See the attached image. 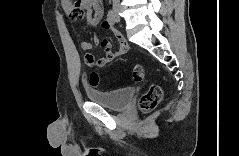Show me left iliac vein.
<instances>
[{"label":"left iliac vein","mask_w":239,"mask_h":156,"mask_svg":"<svg viewBox=\"0 0 239 156\" xmlns=\"http://www.w3.org/2000/svg\"><path fill=\"white\" fill-rule=\"evenodd\" d=\"M117 21H119V17L117 16Z\"/></svg>","instance_id":"obj_1"}]
</instances>
